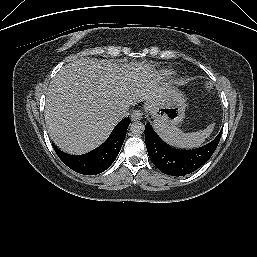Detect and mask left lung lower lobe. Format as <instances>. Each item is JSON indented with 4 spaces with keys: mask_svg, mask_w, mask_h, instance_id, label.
<instances>
[{
    "mask_svg": "<svg viewBox=\"0 0 257 257\" xmlns=\"http://www.w3.org/2000/svg\"><path fill=\"white\" fill-rule=\"evenodd\" d=\"M222 134L208 144L196 149H175L165 144L149 123L145 126V142L152 163L163 173L172 176H184L194 172L205 164L218 146Z\"/></svg>",
    "mask_w": 257,
    "mask_h": 257,
    "instance_id": "obj_1",
    "label": "left lung lower lobe"
}]
</instances>
